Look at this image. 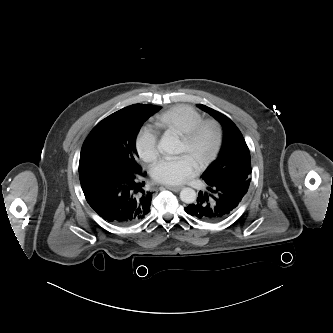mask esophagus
I'll return each mask as SVG.
<instances>
[{"mask_svg": "<svg viewBox=\"0 0 333 333\" xmlns=\"http://www.w3.org/2000/svg\"><path fill=\"white\" fill-rule=\"evenodd\" d=\"M166 188L169 189V190H171V191L178 192V191H180L183 187H182V186H170V185H167Z\"/></svg>", "mask_w": 333, "mask_h": 333, "instance_id": "34e87169", "label": "esophagus"}]
</instances>
